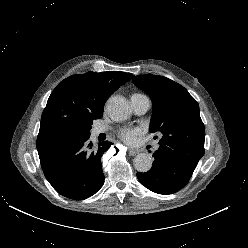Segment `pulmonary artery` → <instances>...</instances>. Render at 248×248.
Wrapping results in <instances>:
<instances>
[{"instance_id":"pulmonary-artery-1","label":"pulmonary artery","mask_w":248,"mask_h":248,"mask_svg":"<svg viewBox=\"0 0 248 248\" xmlns=\"http://www.w3.org/2000/svg\"><path fill=\"white\" fill-rule=\"evenodd\" d=\"M131 104L136 114H145L150 107V100L146 95L143 94H133L131 96ZM106 132V128L103 126L94 127L92 129V134L98 136L101 133ZM158 145L156 146V149Z\"/></svg>"}]
</instances>
